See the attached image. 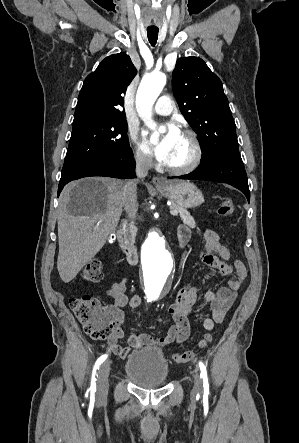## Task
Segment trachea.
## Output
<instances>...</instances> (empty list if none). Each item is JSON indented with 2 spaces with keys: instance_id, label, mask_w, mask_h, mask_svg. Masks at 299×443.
<instances>
[{
  "instance_id": "obj_1",
  "label": "trachea",
  "mask_w": 299,
  "mask_h": 443,
  "mask_svg": "<svg viewBox=\"0 0 299 443\" xmlns=\"http://www.w3.org/2000/svg\"><path fill=\"white\" fill-rule=\"evenodd\" d=\"M148 40L152 46H155L158 38V30L148 29L147 30Z\"/></svg>"
}]
</instances>
